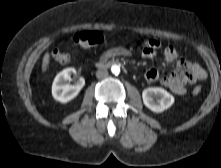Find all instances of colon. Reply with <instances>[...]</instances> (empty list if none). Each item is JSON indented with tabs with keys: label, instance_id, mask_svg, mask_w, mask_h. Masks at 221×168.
Here are the masks:
<instances>
[{
	"label": "colon",
	"instance_id": "5ec220e1",
	"mask_svg": "<svg viewBox=\"0 0 221 168\" xmlns=\"http://www.w3.org/2000/svg\"><path fill=\"white\" fill-rule=\"evenodd\" d=\"M74 40L81 46L91 47L100 44L103 41V34L100 31H80L75 34ZM140 41L144 47L155 49L159 47V42L155 39L140 37ZM52 58L56 63L65 64L70 60V55L65 51L57 48L52 53ZM193 93L198 95L201 93V87L196 86Z\"/></svg>",
	"mask_w": 221,
	"mask_h": 168
}]
</instances>
